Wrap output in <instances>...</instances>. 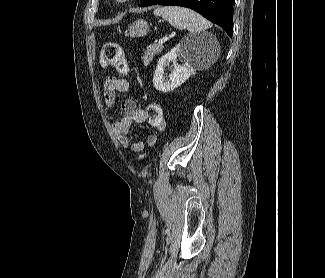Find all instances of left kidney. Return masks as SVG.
I'll return each instance as SVG.
<instances>
[{
  "label": "left kidney",
  "mask_w": 325,
  "mask_h": 278,
  "mask_svg": "<svg viewBox=\"0 0 325 278\" xmlns=\"http://www.w3.org/2000/svg\"><path fill=\"white\" fill-rule=\"evenodd\" d=\"M199 42V38L185 37L176 47L159 59L153 76V86L156 90L163 93L173 91L195 73V59L201 54V48L206 47V42L205 44ZM177 57H181L185 64H178ZM171 62L173 63L170 67L171 74L169 77H165V67L169 66Z\"/></svg>",
  "instance_id": "1"
}]
</instances>
